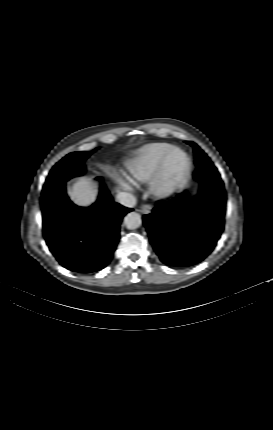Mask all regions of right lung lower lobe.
Here are the masks:
<instances>
[{"mask_svg": "<svg viewBox=\"0 0 273 430\" xmlns=\"http://www.w3.org/2000/svg\"><path fill=\"white\" fill-rule=\"evenodd\" d=\"M43 233L46 243L68 270L93 273L111 261L124 215L132 209L115 203L101 187L96 203L88 208L74 205L60 184L41 197Z\"/></svg>", "mask_w": 273, "mask_h": 430, "instance_id": "98d812e1", "label": "right lung lower lobe"}]
</instances>
